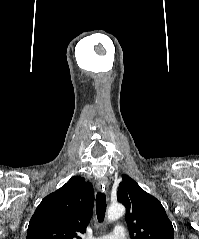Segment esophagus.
I'll use <instances>...</instances> for the list:
<instances>
[{
  "label": "esophagus",
  "mask_w": 199,
  "mask_h": 239,
  "mask_svg": "<svg viewBox=\"0 0 199 239\" xmlns=\"http://www.w3.org/2000/svg\"><path fill=\"white\" fill-rule=\"evenodd\" d=\"M98 188L102 190L103 192L107 191L109 188L108 180L106 178L100 180L98 183Z\"/></svg>",
  "instance_id": "1"
}]
</instances>
